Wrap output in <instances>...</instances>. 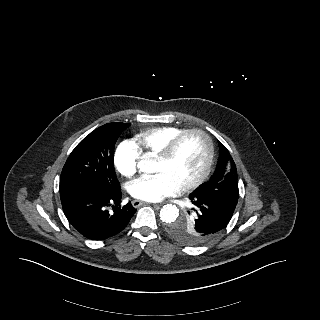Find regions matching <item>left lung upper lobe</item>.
<instances>
[{
	"label": "left lung upper lobe",
	"instance_id": "left-lung-upper-lobe-1",
	"mask_svg": "<svg viewBox=\"0 0 320 320\" xmlns=\"http://www.w3.org/2000/svg\"><path fill=\"white\" fill-rule=\"evenodd\" d=\"M219 147V159L214 176L201 184L194 192L236 206L239 197L236 165L227 148L220 142ZM199 227V212L194 205L184 217L169 224L168 233L183 244L198 245L206 242L200 234Z\"/></svg>",
	"mask_w": 320,
	"mask_h": 320
}]
</instances>
